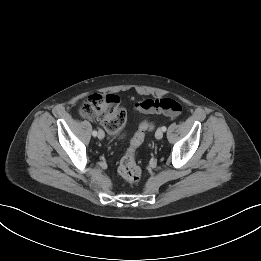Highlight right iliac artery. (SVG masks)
<instances>
[{
  "mask_svg": "<svg viewBox=\"0 0 261 261\" xmlns=\"http://www.w3.org/2000/svg\"><path fill=\"white\" fill-rule=\"evenodd\" d=\"M92 135H93L94 137L97 136V131L94 130V131L92 132Z\"/></svg>",
  "mask_w": 261,
  "mask_h": 261,
  "instance_id": "1",
  "label": "right iliac artery"
}]
</instances>
